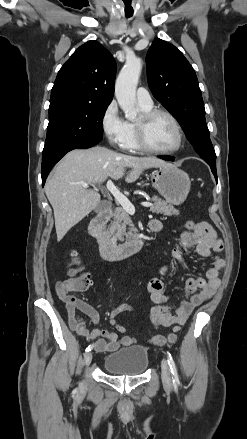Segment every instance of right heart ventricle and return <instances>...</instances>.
Wrapping results in <instances>:
<instances>
[{"instance_id":"right-heart-ventricle-1","label":"right heart ventricle","mask_w":247,"mask_h":439,"mask_svg":"<svg viewBox=\"0 0 247 439\" xmlns=\"http://www.w3.org/2000/svg\"><path fill=\"white\" fill-rule=\"evenodd\" d=\"M140 109L144 112L147 110H150L152 106L146 107L139 104ZM127 125V133L125 140L123 142L122 148L127 151H140L142 150L140 146L138 145L137 138H136V130H135V123L134 122H126Z\"/></svg>"}]
</instances>
